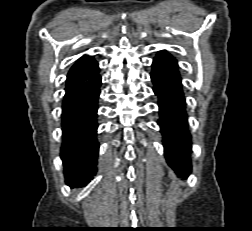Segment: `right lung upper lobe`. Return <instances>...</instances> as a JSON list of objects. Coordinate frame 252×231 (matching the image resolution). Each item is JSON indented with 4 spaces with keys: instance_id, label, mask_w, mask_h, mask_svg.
Here are the masks:
<instances>
[{
    "instance_id": "obj_1",
    "label": "right lung upper lobe",
    "mask_w": 252,
    "mask_h": 231,
    "mask_svg": "<svg viewBox=\"0 0 252 231\" xmlns=\"http://www.w3.org/2000/svg\"><path fill=\"white\" fill-rule=\"evenodd\" d=\"M98 63L92 56L84 55L71 67L67 75L66 88L91 79L98 74Z\"/></svg>"
}]
</instances>
